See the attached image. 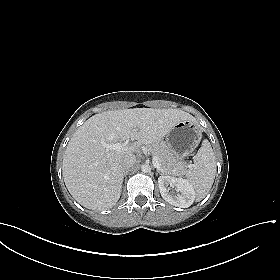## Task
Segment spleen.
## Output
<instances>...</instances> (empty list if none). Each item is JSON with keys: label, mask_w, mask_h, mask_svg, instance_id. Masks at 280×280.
Instances as JSON below:
<instances>
[{"label": "spleen", "mask_w": 280, "mask_h": 280, "mask_svg": "<svg viewBox=\"0 0 280 280\" xmlns=\"http://www.w3.org/2000/svg\"><path fill=\"white\" fill-rule=\"evenodd\" d=\"M185 175L195 190L196 200H202L211 189L216 175L215 155L207 139L202 142V146L194 156V164Z\"/></svg>", "instance_id": "3e777b00"}]
</instances>
